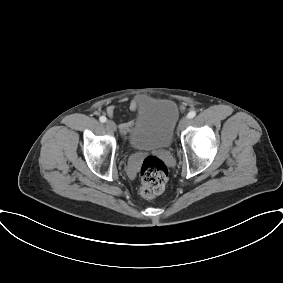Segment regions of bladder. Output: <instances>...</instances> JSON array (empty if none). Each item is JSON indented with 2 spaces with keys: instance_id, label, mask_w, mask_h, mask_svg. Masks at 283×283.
Here are the masks:
<instances>
[{
  "instance_id": "31cf9c89",
  "label": "bladder",
  "mask_w": 283,
  "mask_h": 283,
  "mask_svg": "<svg viewBox=\"0 0 283 283\" xmlns=\"http://www.w3.org/2000/svg\"><path fill=\"white\" fill-rule=\"evenodd\" d=\"M178 120L179 110L174 101H150L140 110L129 143L135 149L169 148Z\"/></svg>"
}]
</instances>
